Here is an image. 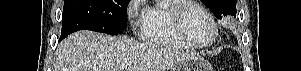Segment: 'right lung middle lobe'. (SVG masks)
<instances>
[{
    "instance_id": "obj_1",
    "label": "right lung middle lobe",
    "mask_w": 301,
    "mask_h": 71,
    "mask_svg": "<svg viewBox=\"0 0 301 71\" xmlns=\"http://www.w3.org/2000/svg\"><path fill=\"white\" fill-rule=\"evenodd\" d=\"M130 0H64L62 32L65 38L78 30L119 34L126 29Z\"/></svg>"
}]
</instances>
